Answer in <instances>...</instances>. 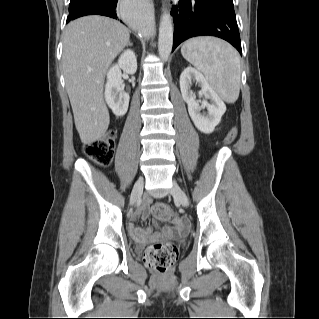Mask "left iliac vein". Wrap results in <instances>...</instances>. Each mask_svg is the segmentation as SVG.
Masks as SVG:
<instances>
[{
    "label": "left iliac vein",
    "mask_w": 319,
    "mask_h": 319,
    "mask_svg": "<svg viewBox=\"0 0 319 319\" xmlns=\"http://www.w3.org/2000/svg\"><path fill=\"white\" fill-rule=\"evenodd\" d=\"M172 196L180 202V204L184 207L189 206V199L186 193L179 187L176 182H173V186L171 188Z\"/></svg>",
    "instance_id": "1"
}]
</instances>
